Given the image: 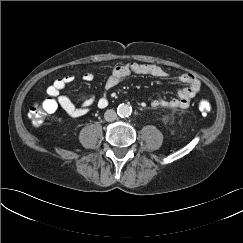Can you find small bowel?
<instances>
[{
  "label": "small bowel",
  "instance_id": "1",
  "mask_svg": "<svg viewBox=\"0 0 243 243\" xmlns=\"http://www.w3.org/2000/svg\"><path fill=\"white\" fill-rule=\"evenodd\" d=\"M131 74L149 75L157 78H165L168 72L162 67L154 64H140L136 62L116 65L112 68L111 73L105 81L106 92L98 99L91 95H81L77 99L72 100L60 92L68 85L74 82L73 75H66L54 80L47 88V94L54 99L69 116L78 118L86 115L92 106L103 109L108 106L109 98L107 91L116 87L124 78ZM95 78L94 72H86L83 79L87 82L93 81ZM180 82L185 84V87L178 92V96L172 99L162 97H153L150 99L152 107H163L171 109H185L190 106L192 99L199 92L200 81L191 73H184L179 76Z\"/></svg>",
  "mask_w": 243,
  "mask_h": 243
}]
</instances>
